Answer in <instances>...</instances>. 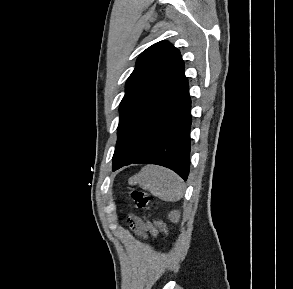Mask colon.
<instances>
[{"label": "colon", "instance_id": "colon-1", "mask_svg": "<svg viewBox=\"0 0 293 289\" xmlns=\"http://www.w3.org/2000/svg\"><path fill=\"white\" fill-rule=\"evenodd\" d=\"M130 195L134 205L146 211L153 225L167 236L168 230L166 225L162 221L155 219L152 215V204L149 195L140 190H133Z\"/></svg>", "mask_w": 293, "mask_h": 289}]
</instances>
